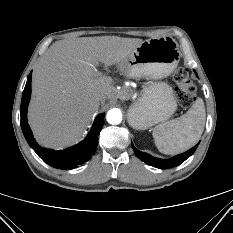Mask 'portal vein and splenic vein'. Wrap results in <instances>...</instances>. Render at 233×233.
<instances>
[{"instance_id": "18ae733b", "label": "portal vein and splenic vein", "mask_w": 233, "mask_h": 233, "mask_svg": "<svg viewBox=\"0 0 233 233\" xmlns=\"http://www.w3.org/2000/svg\"><path fill=\"white\" fill-rule=\"evenodd\" d=\"M96 75H100V73L96 71Z\"/></svg>"}]
</instances>
